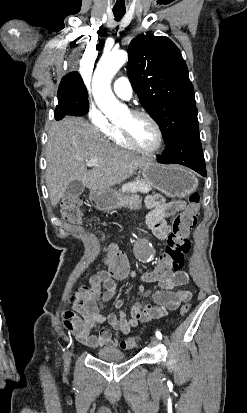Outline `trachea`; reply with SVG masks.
I'll return each mask as SVG.
<instances>
[{"label": "trachea", "instance_id": "trachea-1", "mask_svg": "<svg viewBox=\"0 0 247 413\" xmlns=\"http://www.w3.org/2000/svg\"><path fill=\"white\" fill-rule=\"evenodd\" d=\"M113 13H114L115 19L118 21L124 16L125 11H113Z\"/></svg>", "mask_w": 247, "mask_h": 413}]
</instances>
